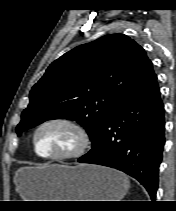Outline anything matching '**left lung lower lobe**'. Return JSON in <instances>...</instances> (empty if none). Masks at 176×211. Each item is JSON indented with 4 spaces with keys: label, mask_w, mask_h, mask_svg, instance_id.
<instances>
[{
    "label": "left lung lower lobe",
    "mask_w": 176,
    "mask_h": 211,
    "mask_svg": "<svg viewBox=\"0 0 176 211\" xmlns=\"http://www.w3.org/2000/svg\"><path fill=\"white\" fill-rule=\"evenodd\" d=\"M164 105L157 82L121 104L92 149L78 159L112 167L137 179L154 200L164 137Z\"/></svg>",
    "instance_id": "0a47b994"
}]
</instances>
